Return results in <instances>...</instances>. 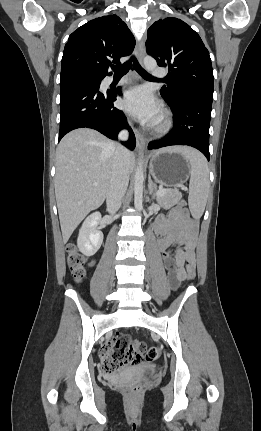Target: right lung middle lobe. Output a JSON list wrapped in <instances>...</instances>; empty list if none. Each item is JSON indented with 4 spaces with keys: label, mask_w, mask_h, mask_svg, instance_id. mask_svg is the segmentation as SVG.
I'll return each mask as SVG.
<instances>
[{
    "label": "right lung middle lobe",
    "mask_w": 261,
    "mask_h": 431,
    "mask_svg": "<svg viewBox=\"0 0 261 431\" xmlns=\"http://www.w3.org/2000/svg\"><path fill=\"white\" fill-rule=\"evenodd\" d=\"M61 80L65 79H89L100 85L101 79H103L101 76H97L95 74L89 73L87 71L82 70H72L68 72L61 73L60 76Z\"/></svg>",
    "instance_id": "obj_1"
}]
</instances>
